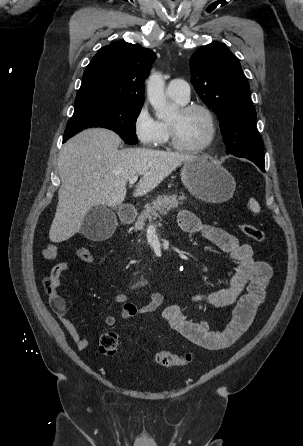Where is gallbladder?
I'll return each instance as SVG.
<instances>
[{"label": "gallbladder", "instance_id": "1", "mask_svg": "<svg viewBox=\"0 0 303 446\" xmlns=\"http://www.w3.org/2000/svg\"><path fill=\"white\" fill-rule=\"evenodd\" d=\"M117 225L113 210L99 205L93 207L86 215L80 232L88 239L99 241L109 237Z\"/></svg>", "mask_w": 303, "mask_h": 446}]
</instances>
